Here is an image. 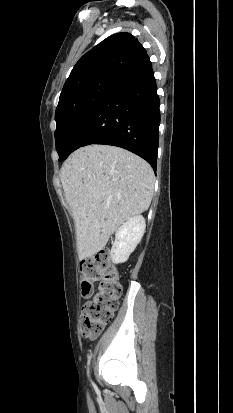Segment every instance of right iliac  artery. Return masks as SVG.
<instances>
[{
  "label": "right iliac artery",
  "mask_w": 233,
  "mask_h": 413,
  "mask_svg": "<svg viewBox=\"0 0 233 413\" xmlns=\"http://www.w3.org/2000/svg\"><path fill=\"white\" fill-rule=\"evenodd\" d=\"M90 359H91V355L89 356V358H88V375H89V364H90Z\"/></svg>",
  "instance_id": "1"
}]
</instances>
